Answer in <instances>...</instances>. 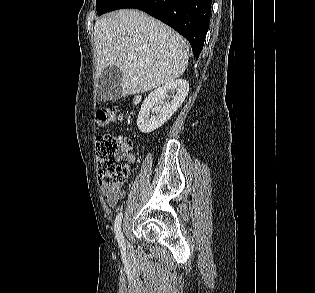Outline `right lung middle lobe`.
I'll return each mask as SVG.
<instances>
[{
	"label": "right lung middle lobe",
	"instance_id": "obj_1",
	"mask_svg": "<svg viewBox=\"0 0 315 293\" xmlns=\"http://www.w3.org/2000/svg\"><path fill=\"white\" fill-rule=\"evenodd\" d=\"M114 0H96V10L98 15H102L105 13L108 6L113 2Z\"/></svg>",
	"mask_w": 315,
	"mask_h": 293
}]
</instances>
